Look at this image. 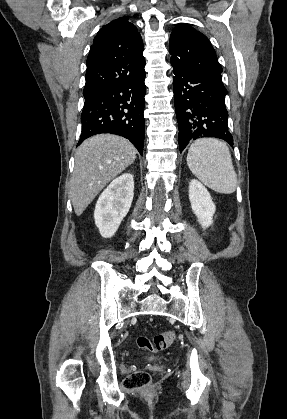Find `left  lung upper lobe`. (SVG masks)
Returning <instances> with one entry per match:
<instances>
[{"instance_id":"5c2ea615","label":"left lung upper lobe","mask_w":287,"mask_h":419,"mask_svg":"<svg viewBox=\"0 0 287 419\" xmlns=\"http://www.w3.org/2000/svg\"><path fill=\"white\" fill-rule=\"evenodd\" d=\"M169 52L173 68L191 73H222L208 38L188 24L181 23L174 28L170 36Z\"/></svg>"}]
</instances>
